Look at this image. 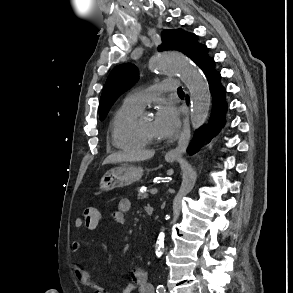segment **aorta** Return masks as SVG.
I'll use <instances>...</instances> for the list:
<instances>
[{
  "mask_svg": "<svg viewBox=\"0 0 293 293\" xmlns=\"http://www.w3.org/2000/svg\"><path fill=\"white\" fill-rule=\"evenodd\" d=\"M150 66L156 72L180 76L190 92L192 127L194 130L199 128L205 122L210 108L209 85L199 68L189 58L173 51L156 53L150 60ZM163 231L156 243L157 256H161L164 251Z\"/></svg>",
  "mask_w": 293,
  "mask_h": 293,
  "instance_id": "obj_1",
  "label": "aorta"
}]
</instances>
